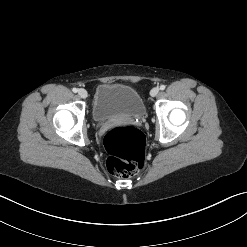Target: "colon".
<instances>
[{
	"instance_id": "5ec220e1",
	"label": "colon",
	"mask_w": 247,
	"mask_h": 247,
	"mask_svg": "<svg viewBox=\"0 0 247 247\" xmlns=\"http://www.w3.org/2000/svg\"><path fill=\"white\" fill-rule=\"evenodd\" d=\"M144 146L143 133L133 126H116L108 130L104 147L109 173L121 178L137 173L144 164Z\"/></svg>"
}]
</instances>
